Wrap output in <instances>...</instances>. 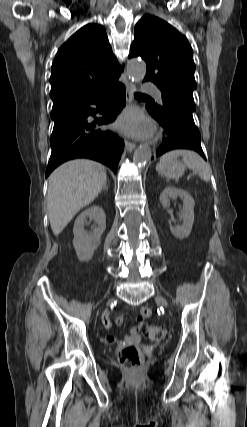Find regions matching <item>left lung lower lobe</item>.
<instances>
[{"mask_svg":"<svg viewBox=\"0 0 247 427\" xmlns=\"http://www.w3.org/2000/svg\"><path fill=\"white\" fill-rule=\"evenodd\" d=\"M150 115L164 127L165 135L156 156L175 149H189L197 152L206 160L201 148V138L196 127L193 115L179 107L165 105L162 110L154 106H146Z\"/></svg>","mask_w":247,"mask_h":427,"instance_id":"0a47b994","label":"left lung lower lobe"}]
</instances>
